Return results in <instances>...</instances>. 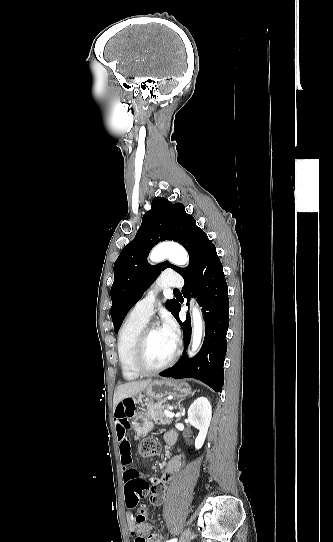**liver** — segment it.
Wrapping results in <instances>:
<instances>
[{
	"mask_svg": "<svg viewBox=\"0 0 333 542\" xmlns=\"http://www.w3.org/2000/svg\"><path fill=\"white\" fill-rule=\"evenodd\" d=\"M152 380H140V382H127V384H121L118 386L116 392L113 396V410H115L117 404L125 400V398H132V396H137L144 392L145 388L151 384Z\"/></svg>",
	"mask_w": 333,
	"mask_h": 542,
	"instance_id": "liver-1",
	"label": "liver"
}]
</instances>
